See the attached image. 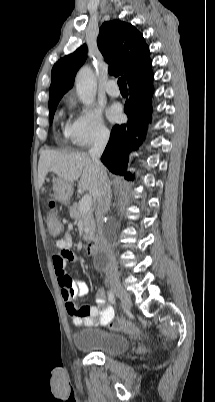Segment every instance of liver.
Wrapping results in <instances>:
<instances>
[{
  "instance_id": "obj_1",
  "label": "liver",
  "mask_w": 215,
  "mask_h": 402,
  "mask_svg": "<svg viewBox=\"0 0 215 402\" xmlns=\"http://www.w3.org/2000/svg\"><path fill=\"white\" fill-rule=\"evenodd\" d=\"M53 172L65 182L79 180L78 187L89 191L97 198L98 175L91 157L86 153H65L53 150L41 152L38 164V187L44 184L45 177Z\"/></svg>"
}]
</instances>
